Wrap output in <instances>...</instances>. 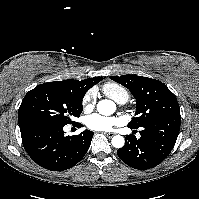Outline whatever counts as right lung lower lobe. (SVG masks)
<instances>
[{
	"instance_id": "right-lung-lower-lobe-1",
	"label": "right lung lower lobe",
	"mask_w": 199,
	"mask_h": 199,
	"mask_svg": "<svg viewBox=\"0 0 199 199\" xmlns=\"http://www.w3.org/2000/svg\"><path fill=\"white\" fill-rule=\"evenodd\" d=\"M23 146L38 165L62 171L73 167L86 154L94 132L85 130L79 135L65 136L63 124L29 121L19 124Z\"/></svg>"
}]
</instances>
